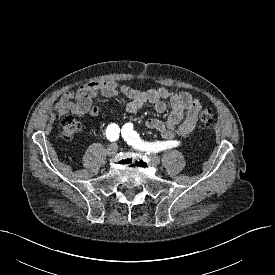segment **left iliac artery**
I'll return each mask as SVG.
<instances>
[{
  "label": "left iliac artery",
  "instance_id": "44dca946",
  "mask_svg": "<svg viewBox=\"0 0 275 275\" xmlns=\"http://www.w3.org/2000/svg\"><path fill=\"white\" fill-rule=\"evenodd\" d=\"M121 133L128 144L134 146L136 149L144 150L148 153H156L180 145V142L177 140L145 142L139 137V134L133 130V124L131 123H126L123 126Z\"/></svg>",
  "mask_w": 275,
  "mask_h": 275
}]
</instances>
